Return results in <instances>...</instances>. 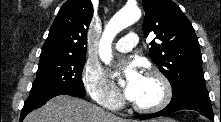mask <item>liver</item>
Listing matches in <instances>:
<instances>
[{
    "mask_svg": "<svg viewBox=\"0 0 221 122\" xmlns=\"http://www.w3.org/2000/svg\"><path fill=\"white\" fill-rule=\"evenodd\" d=\"M24 122H131L85 100L61 95L28 114Z\"/></svg>",
    "mask_w": 221,
    "mask_h": 122,
    "instance_id": "obj_1",
    "label": "liver"
}]
</instances>
